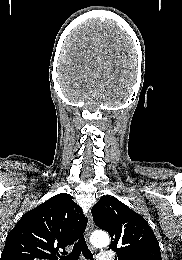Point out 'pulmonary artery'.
<instances>
[{
  "instance_id": "obj_1",
  "label": "pulmonary artery",
  "mask_w": 182,
  "mask_h": 260,
  "mask_svg": "<svg viewBox=\"0 0 182 260\" xmlns=\"http://www.w3.org/2000/svg\"><path fill=\"white\" fill-rule=\"evenodd\" d=\"M97 260H113V259H112V256H111L110 253H108V252H100L97 255Z\"/></svg>"
}]
</instances>
